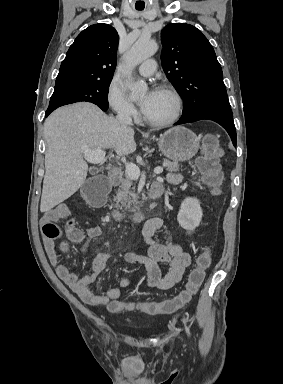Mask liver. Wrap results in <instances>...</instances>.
I'll list each match as a JSON object with an SVG mask.
<instances>
[{"label": "liver", "mask_w": 283, "mask_h": 384, "mask_svg": "<svg viewBox=\"0 0 283 384\" xmlns=\"http://www.w3.org/2000/svg\"><path fill=\"white\" fill-rule=\"evenodd\" d=\"M134 134L133 128L122 126L89 102L52 112L44 124L47 150L40 212H49L84 184L86 150L112 148L118 156H128L136 150Z\"/></svg>", "instance_id": "1"}]
</instances>
